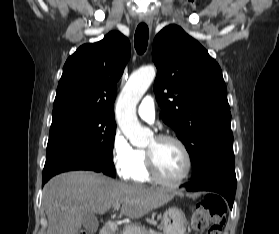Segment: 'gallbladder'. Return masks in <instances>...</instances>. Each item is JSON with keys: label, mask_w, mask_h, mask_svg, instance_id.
<instances>
[{"label": "gallbladder", "mask_w": 279, "mask_h": 234, "mask_svg": "<svg viewBox=\"0 0 279 234\" xmlns=\"http://www.w3.org/2000/svg\"><path fill=\"white\" fill-rule=\"evenodd\" d=\"M83 226L87 231L93 233L98 229V220L92 213H87L83 217Z\"/></svg>", "instance_id": "obj_1"}]
</instances>
